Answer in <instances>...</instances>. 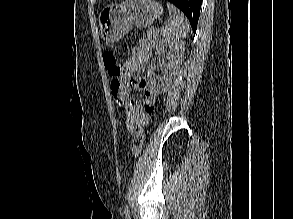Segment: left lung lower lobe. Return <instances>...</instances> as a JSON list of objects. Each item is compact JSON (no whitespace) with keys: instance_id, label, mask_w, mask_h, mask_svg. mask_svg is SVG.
I'll list each match as a JSON object with an SVG mask.
<instances>
[{"instance_id":"obj_1","label":"left lung lower lobe","mask_w":293,"mask_h":219,"mask_svg":"<svg viewBox=\"0 0 293 219\" xmlns=\"http://www.w3.org/2000/svg\"><path fill=\"white\" fill-rule=\"evenodd\" d=\"M184 12L196 32L202 0H168Z\"/></svg>"}]
</instances>
